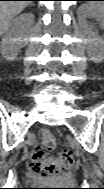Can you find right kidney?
<instances>
[{"label":"right kidney","mask_w":104,"mask_h":189,"mask_svg":"<svg viewBox=\"0 0 104 189\" xmlns=\"http://www.w3.org/2000/svg\"><path fill=\"white\" fill-rule=\"evenodd\" d=\"M33 15L25 13L14 20L10 29L0 42L1 55L9 61H14L20 49L25 45L24 28L33 24Z\"/></svg>","instance_id":"1"}]
</instances>
